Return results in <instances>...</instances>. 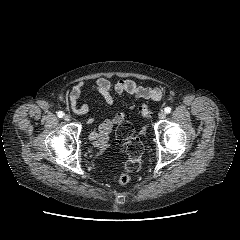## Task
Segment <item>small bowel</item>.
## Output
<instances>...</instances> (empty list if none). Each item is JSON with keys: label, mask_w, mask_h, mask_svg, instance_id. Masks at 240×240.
Returning a JSON list of instances; mask_svg holds the SVG:
<instances>
[{"label": "small bowel", "mask_w": 240, "mask_h": 240, "mask_svg": "<svg viewBox=\"0 0 240 240\" xmlns=\"http://www.w3.org/2000/svg\"><path fill=\"white\" fill-rule=\"evenodd\" d=\"M90 92L99 93L109 105L114 103V95L122 96L124 94H128L135 98L152 100H160L163 96L162 89L158 87L138 85L129 79H121L115 84H112L107 78L100 77L96 79L94 84L91 85L87 90L83 89V83L81 82L73 86L67 93L70 106L75 113L80 115L88 113L89 105L86 100L84 99L80 104L79 100L82 96L85 98ZM124 117L125 115L123 112L106 117L97 128L91 131L89 140L96 146L106 142L114 125L122 122ZM91 121L92 120H89V122Z\"/></svg>", "instance_id": "obj_1"}]
</instances>
